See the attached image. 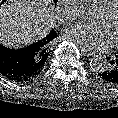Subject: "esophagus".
Segmentation results:
<instances>
[{"label": "esophagus", "instance_id": "esophagus-1", "mask_svg": "<svg viewBox=\"0 0 118 118\" xmlns=\"http://www.w3.org/2000/svg\"><path fill=\"white\" fill-rule=\"evenodd\" d=\"M82 51L87 55V56H95V52L87 49H82Z\"/></svg>", "mask_w": 118, "mask_h": 118}]
</instances>
